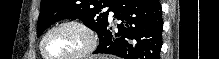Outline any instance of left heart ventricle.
<instances>
[{
  "instance_id": "obj_1",
  "label": "left heart ventricle",
  "mask_w": 219,
  "mask_h": 59,
  "mask_svg": "<svg viewBox=\"0 0 219 59\" xmlns=\"http://www.w3.org/2000/svg\"><path fill=\"white\" fill-rule=\"evenodd\" d=\"M86 37L75 27H62L53 31L45 41V51L52 57H66L80 51Z\"/></svg>"
}]
</instances>
